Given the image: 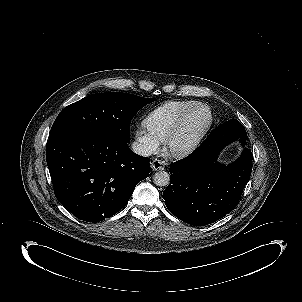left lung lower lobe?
I'll list each match as a JSON object with an SVG mask.
<instances>
[{"label": "left lung lower lobe", "mask_w": 302, "mask_h": 302, "mask_svg": "<svg viewBox=\"0 0 302 302\" xmlns=\"http://www.w3.org/2000/svg\"><path fill=\"white\" fill-rule=\"evenodd\" d=\"M207 138L188 157L172 164L170 184L163 192L169 211L195 226L208 225L230 213L252 172L250 149H244L237 161L224 166L217 162L223 147ZM241 143L245 145L246 141Z\"/></svg>", "instance_id": "1"}]
</instances>
